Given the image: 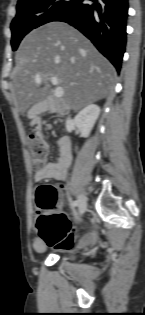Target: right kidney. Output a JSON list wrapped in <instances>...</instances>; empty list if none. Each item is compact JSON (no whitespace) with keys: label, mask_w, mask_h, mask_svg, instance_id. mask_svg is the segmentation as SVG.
<instances>
[{"label":"right kidney","mask_w":145,"mask_h":315,"mask_svg":"<svg viewBox=\"0 0 145 315\" xmlns=\"http://www.w3.org/2000/svg\"><path fill=\"white\" fill-rule=\"evenodd\" d=\"M100 107L89 104L83 108L74 118V123L82 137H88L96 120L100 115Z\"/></svg>","instance_id":"obj_1"}]
</instances>
